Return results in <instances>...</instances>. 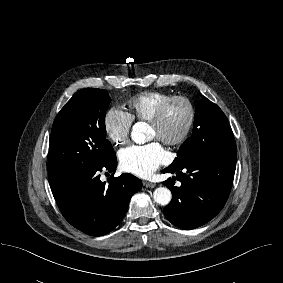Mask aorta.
Instances as JSON below:
<instances>
[{"mask_svg":"<svg viewBox=\"0 0 283 283\" xmlns=\"http://www.w3.org/2000/svg\"><path fill=\"white\" fill-rule=\"evenodd\" d=\"M146 124L138 122L134 124L131 132V138L136 143H144L146 141L145 136ZM171 191L166 187H159L153 192L154 201L160 205H167L171 201Z\"/></svg>","mask_w":283,"mask_h":283,"instance_id":"762f6f07","label":"aorta"}]
</instances>
